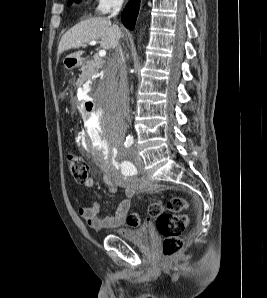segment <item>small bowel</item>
I'll list each match as a JSON object with an SVG mask.
<instances>
[{"label":"small bowel","mask_w":267,"mask_h":298,"mask_svg":"<svg viewBox=\"0 0 267 298\" xmlns=\"http://www.w3.org/2000/svg\"><path fill=\"white\" fill-rule=\"evenodd\" d=\"M103 180L108 187L109 194L114 195L118 193L120 188H122L125 192L126 198L120 201L115 213L111 216L101 217L99 215L100 204L97 202H93L91 205L81 207L79 209L80 217L90 228L96 231L122 227L130 210V198L135 194L138 186H143V184L135 180L125 178L119 174L105 173ZM93 185L94 179L92 177H90L84 184V186L88 188L92 187ZM148 188L153 189L154 187L153 185H149Z\"/></svg>","instance_id":"1"}]
</instances>
